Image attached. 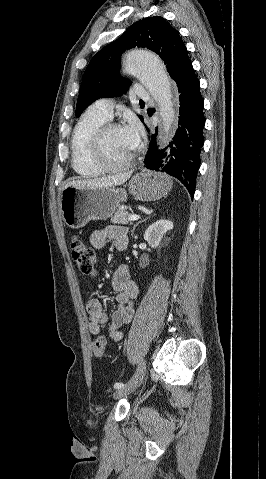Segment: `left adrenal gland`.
I'll use <instances>...</instances> for the list:
<instances>
[{
    "label": "left adrenal gland",
    "instance_id": "a2214340",
    "mask_svg": "<svg viewBox=\"0 0 266 479\" xmlns=\"http://www.w3.org/2000/svg\"><path fill=\"white\" fill-rule=\"evenodd\" d=\"M150 214H151V213H150ZM150 214H149V216H148L147 218L150 217ZM147 218H145V219H143V220H140L139 222H137V223L133 226V229H132V231H131V235H133V232H134L135 228H136L139 224H141L142 222H145V221L147 220Z\"/></svg>",
    "mask_w": 266,
    "mask_h": 479
}]
</instances>
